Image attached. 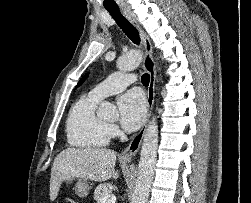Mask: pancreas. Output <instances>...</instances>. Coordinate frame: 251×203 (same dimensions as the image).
Masks as SVG:
<instances>
[{
    "mask_svg": "<svg viewBox=\"0 0 251 203\" xmlns=\"http://www.w3.org/2000/svg\"><path fill=\"white\" fill-rule=\"evenodd\" d=\"M111 195L110 185L106 183L98 185L94 191V199L97 203H101L103 197Z\"/></svg>",
    "mask_w": 251,
    "mask_h": 203,
    "instance_id": "cf45deb5",
    "label": "pancreas"
}]
</instances>
